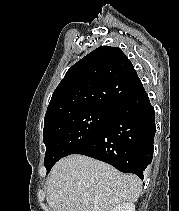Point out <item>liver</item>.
I'll return each instance as SVG.
<instances>
[{"label":"liver","instance_id":"6515ba94","mask_svg":"<svg viewBox=\"0 0 179 211\" xmlns=\"http://www.w3.org/2000/svg\"><path fill=\"white\" fill-rule=\"evenodd\" d=\"M47 203L53 211H111L138 200L142 182L111 165L84 156L59 160L47 179Z\"/></svg>","mask_w":179,"mask_h":211}]
</instances>
